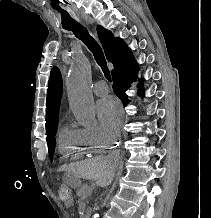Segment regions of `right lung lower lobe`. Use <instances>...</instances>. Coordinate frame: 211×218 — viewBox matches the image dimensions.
<instances>
[{
	"instance_id": "98d812e1",
	"label": "right lung lower lobe",
	"mask_w": 211,
	"mask_h": 218,
	"mask_svg": "<svg viewBox=\"0 0 211 218\" xmlns=\"http://www.w3.org/2000/svg\"><path fill=\"white\" fill-rule=\"evenodd\" d=\"M138 65L135 63L133 56L120 62L112 70L113 90L120 98H127L125 91L131 86L133 81L137 80ZM138 94L142 95V80H138Z\"/></svg>"
}]
</instances>
